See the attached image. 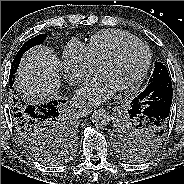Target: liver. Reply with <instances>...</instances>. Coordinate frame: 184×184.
Wrapping results in <instances>:
<instances>
[{"label": "liver", "mask_w": 184, "mask_h": 184, "mask_svg": "<svg viewBox=\"0 0 184 184\" xmlns=\"http://www.w3.org/2000/svg\"><path fill=\"white\" fill-rule=\"evenodd\" d=\"M59 71V59L53 49L34 47L21 59L15 89L29 103L47 102L58 94Z\"/></svg>", "instance_id": "6515ba94"}]
</instances>
